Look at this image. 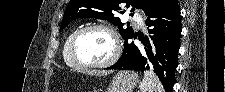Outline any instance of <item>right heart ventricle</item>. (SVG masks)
Here are the masks:
<instances>
[{"label": "right heart ventricle", "mask_w": 225, "mask_h": 92, "mask_svg": "<svg viewBox=\"0 0 225 92\" xmlns=\"http://www.w3.org/2000/svg\"><path fill=\"white\" fill-rule=\"evenodd\" d=\"M76 31H77V29L72 30L71 32H69L67 34V36L65 37L64 44H63V49H62L63 60L70 67H76V65L73 63V61H72V59H71V57L69 55V51H68L69 42H70L72 36L76 33Z\"/></svg>", "instance_id": "obj_1"}]
</instances>
